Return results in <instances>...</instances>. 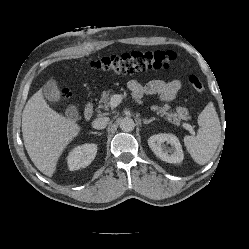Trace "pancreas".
Here are the masks:
<instances>
[{
  "mask_svg": "<svg viewBox=\"0 0 249 249\" xmlns=\"http://www.w3.org/2000/svg\"><path fill=\"white\" fill-rule=\"evenodd\" d=\"M111 91H103L101 95V99L99 101V108H103L107 110L109 108V101L111 99ZM171 106L169 104H164L163 106H152L151 109L156 111L158 115L161 117L165 116L166 120L169 122L180 125L182 120H188L190 119V116L188 114V110L184 107H177L175 112H172L170 110Z\"/></svg>",
  "mask_w": 249,
  "mask_h": 249,
  "instance_id": "pancreas-1",
  "label": "pancreas"
}]
</instances>
